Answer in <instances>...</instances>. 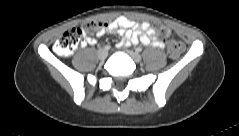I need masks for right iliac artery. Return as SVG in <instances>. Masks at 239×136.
Returning a JSON list of instances; mask_svg holds the SVG:
<instances>
[{
    "label": "right iliac artery",
    "instance_id": "82829eb1",
    "mask_svg": "<svg viewBox=\"0 0 239 136\" xmlns=\"http://www.w3.org/2000/svg\"><path fill=\"white\" fill-rule=\"evenodd\" d=\"M104 49L109 50V49H110V45H106V46L104 47Z\"/></svg>",
    "mask_w": 239,
    "mask_h": 136
}]
</instances>
